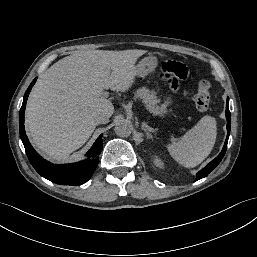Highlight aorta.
I'll use <instances>...</instances> for the list:
<instances>
[{
  "label": "aorta",
  "mask_w": 257,
  "mask_h": 257,
  "mask_svg": "<svg viewBox=\"0 0 257 257\" xmlns=\"http://www.w3.org/2000/svg\"><path fill=\"white\" fill-rule=\"evenodd\" d=\"M133 126L127 119L120 120L115 125V133L120 137H127L132 133Z\"/></svg>",
  "instance_id": "aorta-1"
}]
</instances>
